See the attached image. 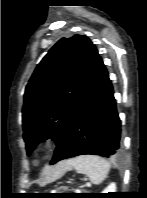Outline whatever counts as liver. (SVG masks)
Listing matches in <instances>:
<instances>
[{
    "mask_svg": "<svg viewBox=\"0 0 147 198\" xmlns=\"http://www.w3.org/2000/svg\"><path fill=\"white\" fill-rule=\"evenodd\" d=\"M71 168V160L61 161L57 163L44 174L42 178V185L62 177L66 171L70 170Z\"/></svg>",
    "mask_w": 147,
    "mask_h": 198,
    "instance_id": "obj_1",
    "label": "liver"
}]
</instances>
